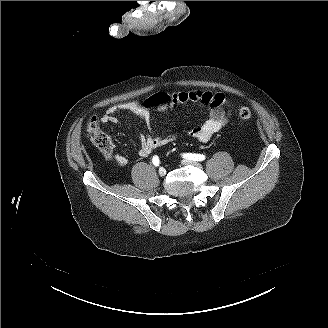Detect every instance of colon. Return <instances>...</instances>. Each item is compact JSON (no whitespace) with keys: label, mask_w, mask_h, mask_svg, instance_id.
<instances>
[{"label":"colon","mask_w":328,"mask_h":328,"mask_svg":"<svg viewBox=\"0 0 328 328\" xmlns=\"http://www.w3.org/2000/svg\"><path fill=\"white\" fill-rule=\"evenodd\" d=\"M171 94L157 93L149 97L144 106L147 108L154 106H165L172 103ZM252 116L251 110L248 107H241L238 111V117L241 120H249ZM87 132L94 145L103 153H110L113 150V142L111 138L101 130L97 117H92L87 123Z\"/></svg>","instance_id":"obj_1"}]
</instances>
